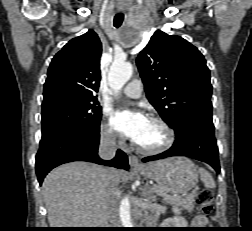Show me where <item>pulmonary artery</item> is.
Segmentation results:
<instances>
[{"mask_svg":"<svg viewBox=\"0 0 252 231\" xmlns=\"http://www.w3.org/2000/svg\"><path fill=\"white\" fill-rule=\"evenodd\" d=\"M123 93L131 98H139L142 93V83L140 80H132L123 88Z\"/></svg>","mask_w":252,"mask_h":231,"instance_id":"pulmonary-artery-1","label":"pulmonary artery"}]
</instances>
